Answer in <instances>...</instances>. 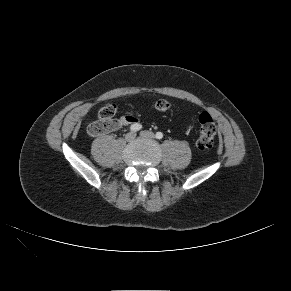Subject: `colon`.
<instances>
[{"label":"colon","mask_w":291,"mask_h":291,"mask_svg":"<svg viewBox=\"0 0 291 291\" xmlns=\"http://www.w3.org/2000/svg\"><path fill=\"white\" fill-rule=\"evenodd\" d=\"M170 108V103L161 99L155 103V109L158 112H166ZM116 107L113 104H107L101 107L98 111V118L96 121L89 124L87 132L91 136H98L112 131L113 116L115 115ZM199 123V137L197 139V146L200 150H209L214 145L216 135V125L207 112H201L198 115Z\"/></svg>","instance_id":"obj_1"}]
</instances>
